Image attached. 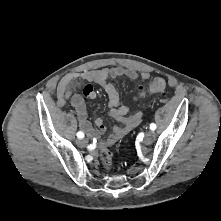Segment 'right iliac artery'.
Returning a JSON list of instances; mask_svg holds the SVG:
<instances>
[{
    "mask_svg": "<svg viewBox=\"0 0 221 221\" xmlns=\"http://www.w3.org/2000/svg\"><path fill=\"white\" fill-rule=\"evenodd\" d=\"M77 137H78L79 139H82V138L84 137V133L81 132V131H79V132L77 133Z\"/></svg>",
    "mask_w": 221,
    "mask_h": 221,
    "instance_id": "obj_1",
    "label": "right iliac artery"
}]
</instances>
